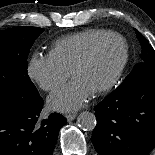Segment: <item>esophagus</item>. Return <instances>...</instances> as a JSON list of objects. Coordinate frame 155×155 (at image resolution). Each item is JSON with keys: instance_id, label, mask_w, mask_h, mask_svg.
Here are the masks:
<instances>
[{"instance_id": "1", "label": "esophagus", "mask_w": 155, "mask_h": 155, "mask_svg": "<svg viewBox=\"0 0 155 155\" xmlns=\"http://www.w3.org/2000/svg\"><path fill=\"white\" fill-rule=\"evenodd\" d=\"M76 118L75 114H68L66 115V119L68 120V122L73 121Z\"/></svg>"}]
</instances>
